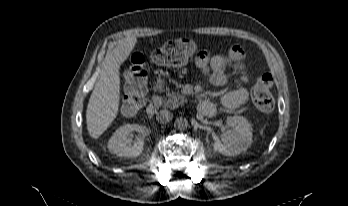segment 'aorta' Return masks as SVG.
<instances>
[{
    "label": "aorta",
    "mask_w": 348,
    "mask_h": 206,
    "mask_svg": "<svg viewBox=\"0 0 348 206\" xmlns=\"http://www.w3.org/2000/svg\"><path fill=\"white\" fill-rule=\"evenodd\" d=\"M174 126L178 130H185L188 127V121L186 118L179 117L175 120Z\"/></svg>",
    "instance_id": "aorta-1"
}]
</instances>
